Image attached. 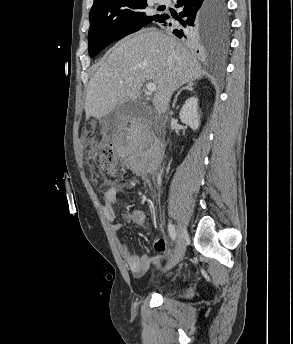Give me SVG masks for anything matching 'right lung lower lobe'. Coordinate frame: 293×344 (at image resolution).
I'll return each mask as SVG.
<instances>
[{
    "label": "right lung lower lobe",
    "instance_id": "right-lung-lower-lobe-1",
    "mask_svg": "<svg viewBox=\"0 0 293 344\" xmlns=\"http://www.w3.org/2000/svg\"><path fill=\"white\" fill-rule=\"evenodd\" d=\"M215 3L216 0H177L176 7L182 10L179 16L161 15L156 22L163 23L177 37L210 52L227 43L229 31V23L223 34L219 31L214 19Z\"/></svg>",
    "mask_w": 293,
    "mask_h": 344
}]
</instances>
